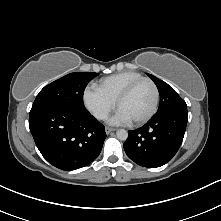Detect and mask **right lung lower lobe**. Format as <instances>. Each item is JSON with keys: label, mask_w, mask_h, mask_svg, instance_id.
<instances>
[{"label": "right lung lower lobe", "mask_w": 221, "mask_h": 221, "mask_svg": "<svg viewBox=\"0 0 221 221\" xmlns=\"http://www.w3.org/2000/svg\"><path fill=\"white\" fill-rule=\"evenodd\" d=\"M29 128L42 156L71 171L90 164L106 138L104 126L86 109L51 106L30 113Z\"/></svg>", "instance_id": "right-lung-lower-lobe-1"}]
</instances>
